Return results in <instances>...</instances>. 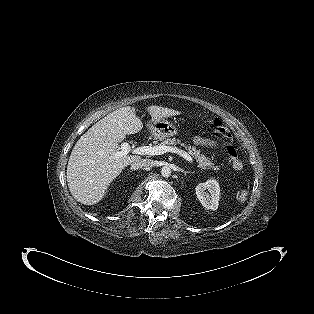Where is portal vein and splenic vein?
Segmentation results:
<instances>
[{
  "label": "portal vein and splenic vein",
  "mask_w": 314,
  "mask_h": 314,
  "mask_svg": "<svg viewBox=\"0 0 314 314\" xmlns=\"http://www.w3.org/2000/svg\"><path fill=\"white\" fill-rule=\"evenodd\" d=\"M119 151L115 153L116 157L126 156L128 153L132 152L133 154L138 155H162L166 152L178 153L180 156L185 158L188 162L192 163V157L187 154L185 151H182L176 147L166 146V145H158V146H140L133 148L127 142L122 143L118 146Z\"/></svg>",
  "instance_id": "portal-vein-and-splenic-vein-1"
}]
</instances>
